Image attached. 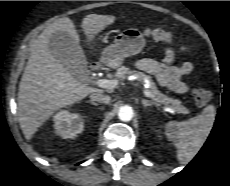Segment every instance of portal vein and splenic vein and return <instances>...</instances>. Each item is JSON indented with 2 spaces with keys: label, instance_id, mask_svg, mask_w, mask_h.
Returning a JSON list of instances; mask_svg holds the SVG:
<instances>
[{
  "label": "portal vein and splenic vein",
  "instance_id": "obj_1",
  "mask_svg": "<svg viewBox=\"0 0 230 186\" xmlns=\"http://www.w3.org/2000/svg\"><path fill=\"white\" fill-rule=\"evenodd\" d=\"M96 84L101 88L114 89L118 85V80H116V79H112V80L99 79L96 81ZM143 93L146 97L152 98L153 100L156 101V99L153 97V95L151 94V92L148 89H144ZM165 110L170 111L171 108H166Z\"/></svg>",
  "mask_w": 230,
  "mask_h": 186
}]
</instances>
